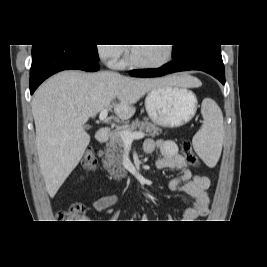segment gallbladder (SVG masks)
<instances>
[{
    "instance_id": "obj_1",
    "label": "gallbladder",
    "mask_w": 267,
    "mask_h": 267,
    "mask_svg": "<svg viewBox=\"0 0 267 267\" xmlns=\"http://www.w3.org/2000/svg\"><path fill=\"white\" fill-rule=\"evenodd\" d=\"M85 129H89V126H85Z\"/></svg>"
}]
</instances>
